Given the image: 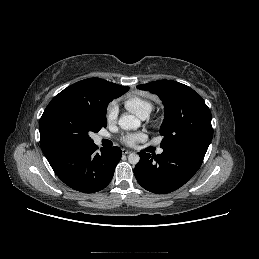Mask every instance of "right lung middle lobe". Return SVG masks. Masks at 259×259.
Instances as JSON below:
<instances>
[{"label":"right lung middle lobe","mask_w":259,"mask_h":259,"mask_svg":"<svg viewBox=\"0 0 259 259\" xmlns=\"http://www.w3.org/2000/svg\"><path fill=\"white\" fill-rule=\"evenodd\" d=\"M50 105V106H49ZM107 125L106 112L98 113L94 109L78 102L60 97L48 104L43 121L39 124L42 151L53 152L69 146L93 144L89 136Z\"/></svg>","instance_id":"obj_1"}]
</instances>
